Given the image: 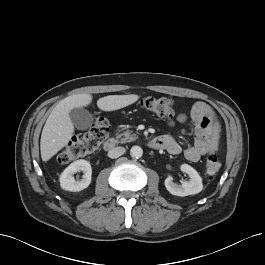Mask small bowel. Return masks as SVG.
<instances>
[{
    "mask_svg": "<svg viewBox=\"0 0 265 265\" xmlns=\"http://www.w3.org/2000/svg\"><path fill=\"white\" fill-rule=\"evenodd\" d=\"M190 117L194 123V142L182 149L180 144L171 135L160 136L163 140V149L172 155L183 152L186 159L197 162L201 157L217 153L220 149V125L213 108L205 102H196L190 109ZM186 116H178V122H184ZM173 125L174 121H169Z\"/></svg>",
    "mask_w": 265,
    "mask_h": 265,
    "instance_id": "obj_1",
    "label": "small bowel"
}]
</instances>
